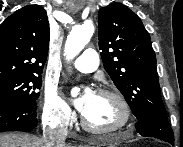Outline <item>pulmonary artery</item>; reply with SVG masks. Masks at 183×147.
Masks as SVG:
<instances>
[{
    "instance_id": "obj_1",
    "label": "pulmonary artery",
    "mask_w": 183,
    "mask_h": 147,
    "mask_svg": "<svg viewBox=\"0 0 183 147\" xmlns=\"http://www.w3.org/2000/svg\"><path fill=\"white\" fill-rule=\"evenodd\" d=\"M73 66L82 73H91L99 66V56L94 49H86L76 60Z\"/></svg>"
}]
</instances>
